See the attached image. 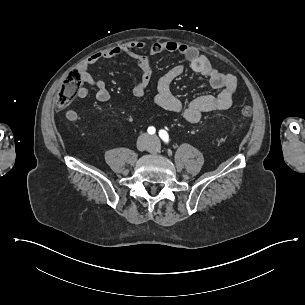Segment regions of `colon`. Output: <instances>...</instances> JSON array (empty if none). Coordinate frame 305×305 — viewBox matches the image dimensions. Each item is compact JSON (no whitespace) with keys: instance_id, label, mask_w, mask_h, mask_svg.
Listing matches in <instances>:
<instances>
[{"instance_id":"5ec220e1","label":"colon","mask_w":305,"mask_h":305,"mask_svg":"<svg viewBox=\"0 0 305 305\" xmlns=\"http://www.w3.org/2000/svg\"><path fill=\"white\" fill-rule=\"evenodd\" d=\"M80 84V72L76 69L67 70L64 74V82L57 98V105L65 108L74 107L77 103V93ZM240 114L243 117H250L252 115V109L250 107H244L241 109Z\"/></svg>"}]
</instances>
